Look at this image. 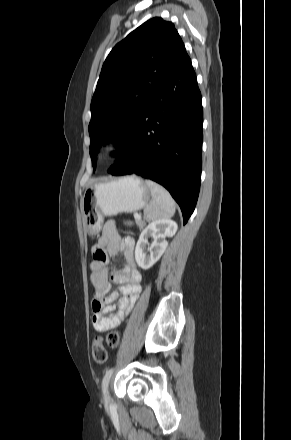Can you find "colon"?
Instances as JSON below:
<instances>
[{"label":"colon","mask_w":291,"mask_h":440,"mask_svg":"<svg viewBox=\"0 0 291 440\" xmlns=\"http://www.w3.org/2000/svg\"><path fill=\"white\" fill-rule=\"evenodd\" d=\"M108 343L112 347H116L119 344V336L116 333H111L108 336ZM92 355L97 363L103 364L107 361L108 355L105 349L103 340L99 337L95 338L92 343Z\"/></svg>","instance_id":"1"}]
</instances>
